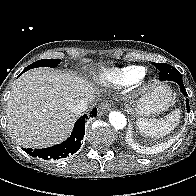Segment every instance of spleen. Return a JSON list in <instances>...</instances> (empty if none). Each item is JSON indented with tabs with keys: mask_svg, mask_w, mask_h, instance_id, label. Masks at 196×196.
I'll list each match as a JSON object with an SVG mask.
<instances>
[{
	"mask_svg": "<svg viewBox=\"0 0 196 196\" xmlns=\"http://www.w3.org/2000/svg\"><path fill=\"white\" fill-rule=\"evenodd\" d=\"M180 110L176 109L164 118L151 119L140 118L137 120V127L140 132L149 137H159L169 134L180 122Z\"/></svg>",
	"mask_w": 196,
	"mask_h": 196,
	"instance_id": "1",
	"label": "spleen"
}]
</instances>
